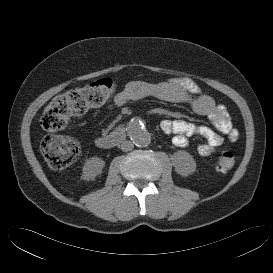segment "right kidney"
Here are the masks:
<instances>
[{
	"mask_svg": "<svg viewBox=\"0 0 273 273\" xmlns=\"http://www.w3.org/2000/svg\"><path fill=\"white\" fill-rule=\"evenodd\" d=\"M105 162L99 157H91L87 159L83 166V177L86 180H92L101 174Z\"/></svg>",
	"mask_w": 273,
	"mask_h": 273,
	"instance_id": "ca27d5eb",
	"label": "right kidney"
}]
</instances>
